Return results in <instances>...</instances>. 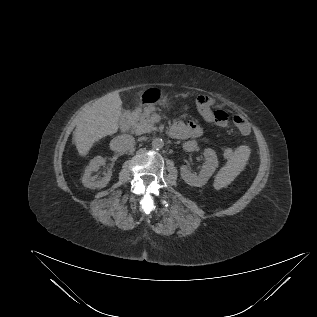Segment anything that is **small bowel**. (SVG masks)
I'll list each match as a JSON object with an SVG mask.
<instances>
[{"mask_svg":"<svg viewBox=\"0 0 317 317\" xmlns=\"http://www.w3.org/2000/svg\"><path fill=\"white\" fill-rule=\"evenodd\" d=\"M237 120L235 123L237 127L239 128L240 132L243 135H247L250 132V127L247 121L240 115L236 116ZM226 123L223 122L220 125H224ZM203 134V129L200 125L193 121H177L175 122L171 129H170V135L173 138L181 139V140H189V144L196 141L199 137H201Z\"/></svg>","mask_w":317,"mask_h":317,"instance_id":"obj_1","label":"small bowel"}]
</instances>
